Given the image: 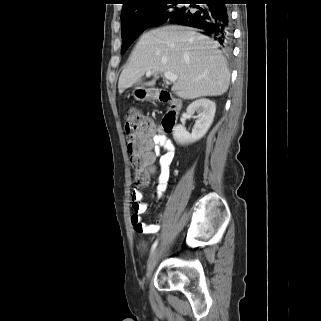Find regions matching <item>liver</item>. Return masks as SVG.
Returning <instances> with one entry per match:
<instances>
[{
	"instance_id": "1",
	"label": "liver",
	"mask_w": 321,
	"mask_h": 321,
	"mask_svg": "<svg viewBox=\"0 0 321 321\" xmlns=\"http://www.w3.org/2000/svg\"><path fill=\"white\" fill-rule=\"evenodd\" d=\"M148 71L154 73V80L142 86H153L159 73H174L178 78L172 91L183 99L222 95L230 80L218 43L182 26L161 27L140 38L119 77V93L140 85Z\"/></svg>"
}]
</instances>
